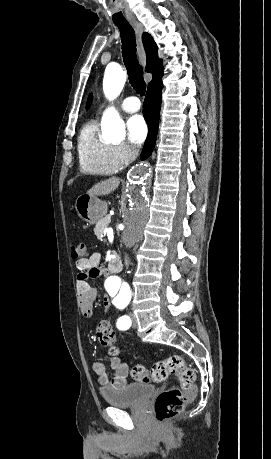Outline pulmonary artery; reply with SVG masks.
Segmentation results:
<instances>
[{"label": "pulmonary artery", "mask_w": 271, "mask_h": 459, "mask_svg": "<svg viewBox=\"0 0 271 459\" xmlns=\"http://www.w3.org/2000/svg\"><path fill=\"white\" fill-rule=\"evenodd\" d=\"M140 108L141 103L138 101L137 97L132 96L122 100L121 109L125 112H137L140 110Z\"/></svg>", "instance_id": "e3ab8cb5"}]
</instances>
